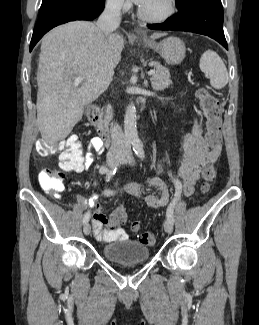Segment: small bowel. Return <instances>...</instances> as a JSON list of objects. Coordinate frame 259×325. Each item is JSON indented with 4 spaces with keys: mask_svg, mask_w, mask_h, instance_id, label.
I'll list each match as a JSON object with an SVG mask.
<instances>
[{
    "mask_svg": "<svg viewBox=\"0 0 259 325\" xmlns=\"http://www.w3.org/2000/svg\"><path fill=\"white\" fill-rule=\"evenodd\" d=\"M104 144L99 137H93L89 141V149L83 153L82 157L78 160L76 165L66 168L76 173L82 172L85 168L93 163V151L102 152ZM183 150L184 154L179 161L178 167L174 172V176L181 183V191L185 196H191L194 193L195 184L200 175L208 167H211L216 162L221 147L220 144L215 148H210L204 140L202 135V128L197 120L194 121L193 126L189 132L183 137ZM61 166L63 165L60 162ZM158 174L161 173V167L158 165L156 168ZM144 185L155 186L161 190L160 196L149 195L145 197V201L152 208L163 207L169 200V184L160 176L147 178L143 183L133 181L128 183L123 191L133 197H141ZM103 194L106 197H115L116 193L110 189L104 190ZM97 197L93 196L89 201H83L91 208H94L92 216L93 232L99 241L110 242L113 240H127L129 238L128 232L122 227H113L111 224L108 229L105 225L108 223L106 215L100 206L96 204Z\"/></svg>",
    "mask_w": 259,
    "mask_h": 325,
    "instance_id": "small-bowel-1",
    "label": "small bowel"
}]
</instances>
